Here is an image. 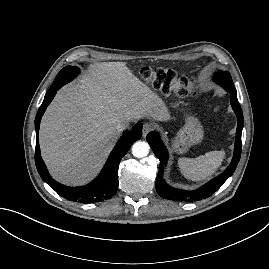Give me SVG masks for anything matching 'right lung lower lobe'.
<instances>
[{
  "instance_id": "1",
  "label": "right lung lower lobe",
  "mask_w": 269,
  "mask_h": 269,
  "mask_svg": "<svg viewBox=\"0 0 269 269\" xmlns=\"http://www.w3.org/2000/svg\"><path fill=\"white\" fill-rule=\"evenodd\" d=\"M63 86L62 83L53 84L45 95V98L40 106L35 119L36 129V149H35V163L41 178L50 185L60 196L67 200L92 203L101 202L114 196L118 189V168L120 160L127 153L131 144L142 137L141 123L136 124L131 131L126 133L117 142L113 151L111 152L101 174L90 184L83 187H67L56 182L48 173L46 166L41 158L39 148V125L41 117L45 112L47 106L54 98L56 92Z\"/></svg>"
}]
</instances>
